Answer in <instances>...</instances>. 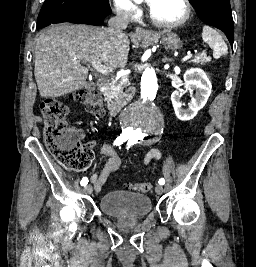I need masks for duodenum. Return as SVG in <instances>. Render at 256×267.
<instances>
[{
	"label": "duodenum",
	"mask_w": 256,
	"mask_h": 267,
	"mask_svg": "<svg viewBox=\"0 0 256 267\" xmlns=\"http://www.w3.org/2000/svg\"><path fill=\"white\" fill-rule=\"evenodd\" d=\"M110 81L107 77H100L96 81V86L101 91H106L109 87ZM128 103L127 99L113 100L110 102L106 114L110 117L117 115Z\"/></svg>",
	"instance_id": "duodenum-1"
}]
</instances>
